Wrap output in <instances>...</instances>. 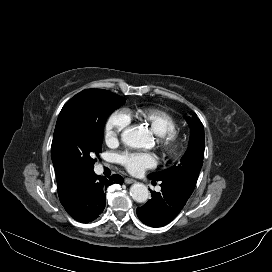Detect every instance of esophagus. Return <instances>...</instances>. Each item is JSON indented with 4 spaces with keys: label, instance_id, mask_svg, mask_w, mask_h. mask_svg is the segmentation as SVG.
Listing matches in <instances>:
<instances>
[{
    "label": "esophagus",
    "instance_id": "34e87169",
    "mask_svg": "<svg viewBox=\"0 0 272 272\" xmlns=\"http://www.w3.org/2000/svg\"><path fill=\"white\" fill-rule=\"evenodd\" d=\"M124 182H125L126 184H131V183H134L135 180H134V179H131V178H125V179H124Z\"/></svg>",
    "mask_w": 272,
    "mask_h": 272
}]
</instances>
